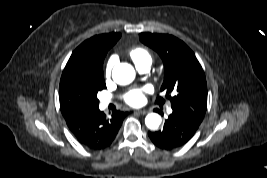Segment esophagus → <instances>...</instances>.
Instances as JSON below:
<instances>
[{
  "instance_id": "esophagus-1",
  "label": "esophagus",
  "mask_w": 267,
  "mask_h": 178,
  "mask_svg": "<svg viewBox=\"0 0 267 178\" xmlns=\"http://www.w3.org/2000/svg\"><path fill=\"white\" fill-rule=\"evenodd\" d=\"M135 112L138 113V114H142V115H144V114L147 113L146 110H137V111H135Z\"/></svg>"
}]
</instances>
